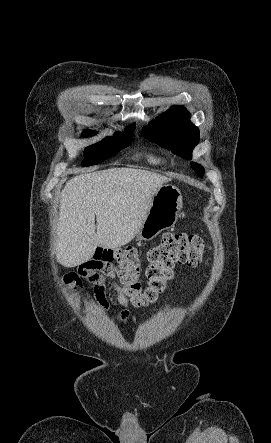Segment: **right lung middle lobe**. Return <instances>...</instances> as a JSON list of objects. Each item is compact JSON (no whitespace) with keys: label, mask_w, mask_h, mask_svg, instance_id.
Listing matches in <instances>:
<instances>
[{"label":"right lung middle lobe","mask_w":271,"mask_h":443,"mask_svg":"<svg viewBox=\"0 0 271 443\" xmlns=\"http://www.w3.org/2000/svg\"><path fill=\"white\" fill-rule=\"evenodd\" d=\"M134 126L129 127L125 133H117L112 137H106L101 142L91 145L85 149L82 166L98 164L105 159L116 155L121 149L127 147L132 140ZM95 132L85 130V136H92Z\"/></svg>","instance_id":"right-lung-middle-lobe-1"}]
</instances>
